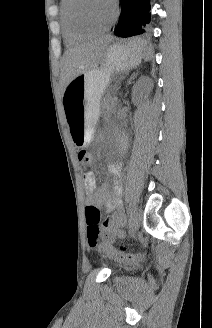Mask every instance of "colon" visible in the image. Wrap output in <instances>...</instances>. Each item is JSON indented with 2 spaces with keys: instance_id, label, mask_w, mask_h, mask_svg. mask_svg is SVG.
Returning <instances> with one entry per match:
<instances>
[{
  "instance_id": "obj_1",
  "label": "colon",
  "mask_w": 212,
  "mask_h": 328,
  "mask_svg": "<svg viewBox=\"0 0 212 328\" xmlns=\"http://www.w3.org/2000/svg\"><path fill=\"white\" fill-rule=\"evenodd\" d=\"M79 162L81 170H92L93 164L92 157L90 153L86 150H81L79 153ZM86 220H87V241L88 245L92 249H105V245L101 242L100 238V229H99V220H100V212L99 210L93 206L88 205L85 210ZM121 251L118 254V259L122 261H136L138 258L128 255L125 253V248L121 247Z\"/></svg>"
}]
</instances>
